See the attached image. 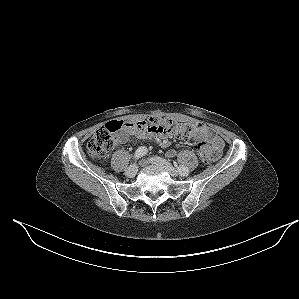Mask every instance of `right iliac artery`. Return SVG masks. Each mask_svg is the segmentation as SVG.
Here are the masks:
<instances>
[{"instance_id":"right-iliac-artery-1","label":"right iliac artery","mask_w":299,"mask_h":299,"mask_svg":"<svg viewBox=\"0 0 299 299\" xmlns=\"http://www.w3.org/2000/svg\"><path fill=\"white\" fill-rule=\"evenodd\" d=\"M146 153H147V148L146 147H144V146L139 147L135 151L134 159H139V158L143 157Z\"/></svg>"}]
</instances>
